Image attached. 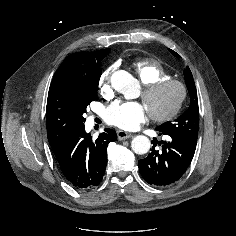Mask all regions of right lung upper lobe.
<instances>
[{"instance_id": "cb5924a9", "label": "right lung upper lobe", "mask_w": 236, "mask_h": 236, "mask_svg": "<svg viewBox=\"0 0 236 236\" xmlns=\"http://www.w3.org/2000/svg\"><path fill=\"white\" fill-rule=\"evenodd\" d=\"M91 56L93 53L90 52H79L68 56L55 72L50 84L46 125L49 144L54 153L64 146L78 128L72 91Z\"/></svg>"}]
</instances>
